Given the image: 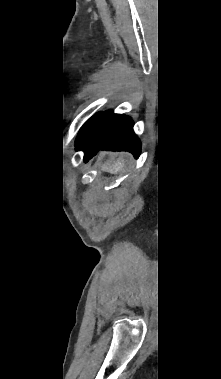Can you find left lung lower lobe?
<instances>
[{"mask_svg":"<svg viewBox=\"0 0 221 379\" xmlns=\"http://www.w3.org/2000/svg\"><path fill=\"white\" fill-rule=\"evenodd\" d=\"M100 149L125 150L138 157L140 142L133 132L132 120L112 111L90 118L78 134L76 150H83L84 160L88 161Z\"/></svg>","mask_w":221,"mask_h":379,"instance_id":"1","label":"left lung lower lobe"}]
</instances>
